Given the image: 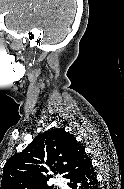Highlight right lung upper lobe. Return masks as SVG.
I'll list each match as a JSON object with an SVG mask.
<instances>
[{
	"mask_svg": "<svg viewBox=\"0 0 124 189\" xmlns=\"http://www.w3.org/2000/svg\"><path fill=\"white\" fill-rule=\"evenodd\" d=\"M90 159L84 147L63 128L39 134L22 152L4 165L1 189H38L47 185L52 172L68 178L82 170Z\"/></svg>",
	"mask_w": 124,
	"mask_h": 189,
	"instance_id": "1",
	"label": "right lung upper lobe"
}]
</instances>
